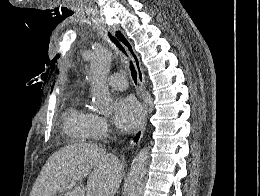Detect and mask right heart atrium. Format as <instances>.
<instances>
[{
  "label": "right heart atrium",
  "mask_w": 260,
  "mask_h": 196,
  "mask_svg": "<svg viewBox=\"0 0 260 196\" xmlns=\"http://www.w3.org/2000/svg\"><path fill=\"white\" fill-rule=\"evenodd\" d=\"M92 128L98 129V130H107L108 129L107 120L102 116L93 115ZM64 191L65 192H82V190H64Z\"/></svg>",
  "instance_id": "1"
}]
</instances>
